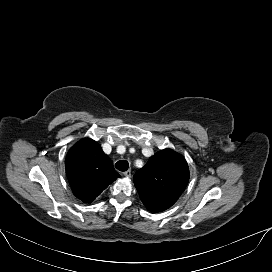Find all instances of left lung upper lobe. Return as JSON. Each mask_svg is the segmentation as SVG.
<instances>
[{
    "label": "left lung upper lobe",
    "instance_id": "obj_1",
    "mask_svg": "<svg viewBox=\"0 0 272 272\" xmlns=\"http://www.w3.org/2000/svg\"><path fill=\"white\" fill-rule=\"evenodd\" d=\"M140 199L151 212H161L171 207L189 181L186 160L171 149L152 156L147 164L133 176Z\"/></svg>",
    "mask_w": 272,
    "mask_h": 272
}]
</instances>
